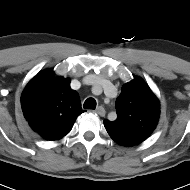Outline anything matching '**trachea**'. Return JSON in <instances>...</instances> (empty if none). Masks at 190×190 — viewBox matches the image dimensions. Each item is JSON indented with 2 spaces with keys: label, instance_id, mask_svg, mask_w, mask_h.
Segmentation results:
<instances>
[{
  "label": "trachea",
  "instance_id": "1",
  "mask_svg": "<svg viewBox=\"0 0 190 190\" xmlns=\"http://www.w3.org/2000/svg\"><path fill=\"white\" fill-rule=\"evenodd\" d=\"M86 109H95L96 108V100L94 98H88L83 105Z\"/></svg>",
  "mask_w": 190,
  "mask_h": 190
}]
</instances>
